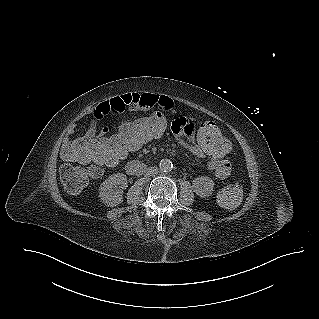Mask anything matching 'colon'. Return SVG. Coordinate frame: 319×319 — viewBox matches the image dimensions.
Listing matches in <instances>:
<instances>
[{
  "instance_id": "5ec220e1",
  "label": "colon",
  "mask_w": 319,
  "mask_h": 319,
  "mask_svg": "<svg viewBox=\"0 0 319 319\" xmlns=\"http://www.w3.org/2000/svg\"><path fill=\"white\" fill-rule=\"evenodd\" d=\"M169 130L166 115L153 113L135 115L131 123L99 139H92L87 134L81 139L65 138L62 156L66 163L61 168V180L65 189L70 194H80L87 187L90 178L100 175V167L117 166L145 143L162 140ZM192 136L195 143L213 158H224L231 151L232 143L227 133L211 122L199 124ZM87 162L90 163L88 169L80 165ZM241 199L242 186L237 180L224 187L217 196L218 203L227 209L237 207Z\"/></svg>"
}]
</instances>
